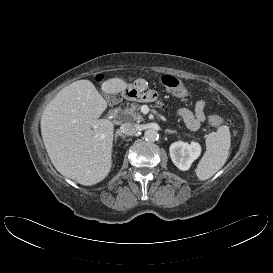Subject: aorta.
<instances>
[{
	"label": "aorta",
	"mask_w": 273,
	"mask_h": 273,
	"mask_svg": "<svg viewBox=\"0 0 273 273\" xmlns=\"http://www.w3.org/2000/svg\"><path fill=\"white\" fill-rule=\"evenodd\" d=\"M157 137H158V133L154 129H148L144 133L145 140L149 142H154L155 140H157Z\"/></svg>",
	"instance_id": "762f6f07"
}]
</instances>
